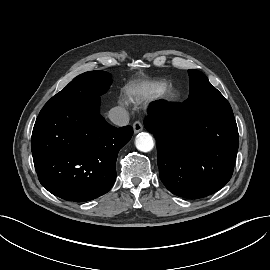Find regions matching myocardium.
Instances as JSON below:
<instances>
[{"label": "myocardium", "mask_w": 270, "mask_h": 270, "mask_svg": "<svg viewBox=\"0 0 270 270\" xmlns=\"http://www.w3.org/2000/svg\"><path fill=\"white\" fill-rule=\"evenodd\" d=\"M176 99V94L173 91H170L167 95V100L173 101Z\"/></svg>", "instance_id": "1"}]
</instances>
